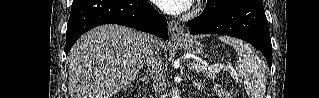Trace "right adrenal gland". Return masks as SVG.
<instances>
[{
	"label": "right adrenal gland",
	"mask_w": 319,
	"mask_h": 98,
	"mask_svg": "<svg viewBox=\"0 0 319 98\" xmlns=\"http://www.w3.org/2000/svg\"><path fill=\"white\" fill-rule=\"evenodd\" d=\"M144 80H149V77L148 76L143 77L142 81H144Z\"/></svg>",
	"instance_id": "1"
}]
</instances>
